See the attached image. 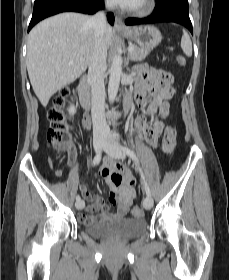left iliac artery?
Masks as SVG:
<instances>
[{
	"label": "left iliac artery",
	"instance_id": "1",
	"mask_svg": "<svg viewBox=\"0 0 229 280\" xmlns=\"http://www.w3.org/2000/svg\"><path fill=\"white\" fill-rule=\"evenodd\" d=\"M123 151H124L130 158H132V159L134 160L135 164L138 166L139 171H140V174H141L142 184H143V186H144L145 192H146L147 195H151L150 188H149V186H148V184H147V182H146V179H145V176H144V174H143V171H142V169H141V167H140V165H139V160H138V157H137L136 153H135L132 149H130V148H128V147H123Z\"/></svg>",
	"mask_w": 229,
	"mask_h": 280
}]
</instances>
